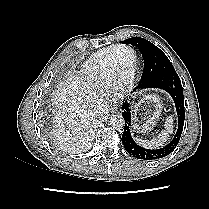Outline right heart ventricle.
Returning a JSON list of instances; mask_svg holds the SVG:
<instances>
[{"label":"right heart ventricle","instance_id":"1","mask_svg":"<svg viewBox=\"0 0 209 209\" xmlns=\"http://www.w3.org/2000/svg\"><path fill=\"white\" fill-rule=\"evenodd\" d=\"M120 45L103 48L93 54L82 68V78L91 90L101 91L106 87L107 70L114 51ZM136 60V57L134 58Z\"/></svg>","mask_w":209,"mask_h":209}]
</instances>
